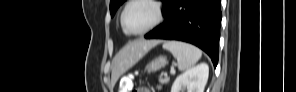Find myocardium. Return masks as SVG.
<instances>
[{
  "label": "myocardium",
  "mask_w": 296,
  "mask_h": 92,
  "mask_svg": "<svg viewBox=\"0 0 296 92\" xmlns=\"http://www.w3.org/2000/svg\"><path fill=\"white\" fill-rule=\"evenodd\" d=\"M136 2H145V3L152 5L155 10L156 16H155V20L148 27H146L145 29H143L141 31L133 32V31H129L126 28L124 17H125V13H126L127 9L129 8V6L132 5L133 3H136ZM162 20H163L162 6L158 1H155V0H131L125 5V7L121 13V16H120V23H121V27H122L124 33H126L127 35H132V36H140V35H144V34L148 33L149 31L156 28L161 23Z\"/></svg>",
  "instance_id": "myocardium-1"
}]
</instances>
